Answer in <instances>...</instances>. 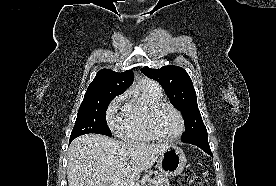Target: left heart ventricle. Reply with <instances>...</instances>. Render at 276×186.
I'll return each instance as SVG.
<instances>
[{
  "label": "left heart ventricle",
  "mask_w": 276,
  "mask_h": 186,
  "mask_svg": "<svg viewBox=\"0 0 276 186\" xmlns=\"http://www.w3.org/2000/svg\"><path fill=\"white\" fill-rule=\"evenodd\" d=\"M154 126L162 137H172L180 129V120L177 114L169 107H162L155 115Z\"/></svg>",
  "instance_id": "b2bd125f"
}]
</instances>
